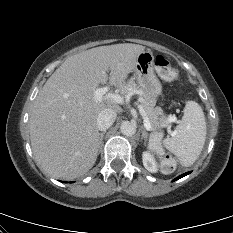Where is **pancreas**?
Returning a JSON list of instances; mask_svg holds the SVG:
<instances>
[{"label":"pancreas","mask_w":233,"mask_h":233,"mask_svg":"<svg viewBox=\"0 0 233 233\" xmlns=\"http://www.w3.org/2000/svg\"><path fill=\"white\" fill-rule=\"evenodd\" d=\"M122 92L127 96L136 94L139 96L141 106L154 130H156L160 125H163L167 121V118L164 115L163 110L160 107H155V101L147 98L133 79L129 80L128 83L123 86ZM152 135L156 138V141L159 143L162 137V133L154 132L152 133Z\"/></svg>","instance_id":"1"}]
</instances>
